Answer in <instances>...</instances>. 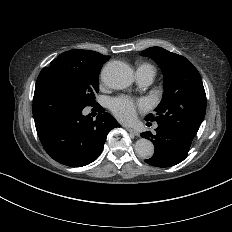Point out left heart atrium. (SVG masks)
Segmentation results:
<instances>
[{
	"label": "left heart atrium",
	"instance_id": "1",
	"mask_svg": "<svg viewBox=\"0 0 232 232\" xmlns=\"http://www.w3.org/2000/svg\"><path fill=\"white\" fill-rule=\"evenodd\" d=\"M143 107V105H140ZM114 114L123 122H131L136 116V107L131 100L116 99L111 104Z\"/></svg>",
	"mask_w": 232,
	"mask_h": 232
}]
</instances>
